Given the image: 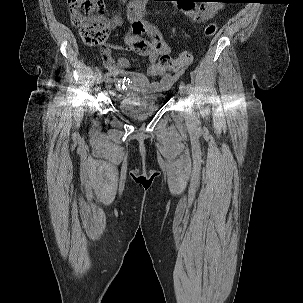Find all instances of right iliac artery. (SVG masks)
I'll list each match as a JSON object with an SVG mask.
<instances>
[{"label": "right iliac artery", "mask_w": 303, "mask_h": 303, "mask_svg": "<svg viewBox=\"0 0 303 303\" xmlns=\"http://www.w3.org/2000/svg\"><path fill=\"white\" fill-rule=\"evenodd\" d=\"M110 73L109 72H107L105 75H104V80H107L108 78H110Z\"/></svg>", "instance_id": "right-iliac-artery-1"}]
</instances>
